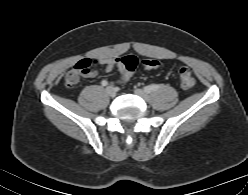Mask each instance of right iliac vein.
<instances>
[{"mask_svg":"<svg viewBox=\"0 0 248 195\" xmlns=\"http://www.w3.org/2000/svg\"><path fill=\"white\" fill-rule=\"evenodd\" d=\"M106 92H107V94H108L110 97H115V96H116V90H115V88L112 87V86H108V87L106 88Z\"/></svg>","mask_w":248,"mask_h":195,"instance_id":"obj_1","label":"right iliac vein"}]
</instances>
